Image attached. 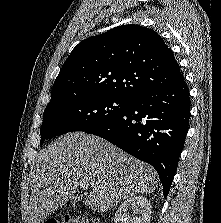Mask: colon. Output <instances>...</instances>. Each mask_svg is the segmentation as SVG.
Here are the masks:
<instances>
[{
  "instance_id": "colon-1",
  "label": "colon",
  "mask_w": 221,
  "mask_h": 223,
  "mask_svg": "<svg viewBox=\"0 0 221 223\" xmlns=\"http://www.w3.org/2000/svg\"><path fill=\"white\" fill-rule=\"evenodd\" d=\"M45 223H99V221L93 218L77 217L64 219L50 218L47 219Z\"/></svg>"
}]
</instances>
